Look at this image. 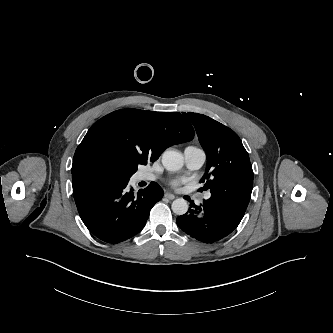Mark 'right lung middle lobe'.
Returning a JSON list of instances; mask_svg holds the SVG:
<instances>
[{"label": "right lung middle lobe", "mask_w": 333, "mask_h": 333, "mask_svg": "<svg viewBox=\"0 0 333 333\" xmlns=\"http://www.w3.org/2000/svg\"><path fill=\"white\" fill-rule=\"evenodd\" d=\"M95 172H96V174H99V175H101L103 177H106L108 179L121 178L122 180L129 181V178H130V176L118 177L112 167H110L108 165H104V164L96 166L95 167Z\"/></svg>", "instance_id": "right-lung-middle-lobe-1"}]
</instances>
